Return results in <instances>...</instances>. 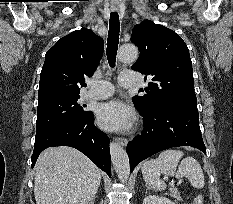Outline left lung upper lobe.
<instances>
[{"instance_id":"left-lung-upper-lobe-1","label":"left lung upper lobe","mask_w":233,"mask_h":204,"mask_svg":"<svg viewBox=\"0 0 233 204\" xmlns=\"http://www.w3.org/2000/svg\"><path fill=\"white\" fill-rule=\"evenodd\" d=\"M131 42L140 51L132 69L150 80L146 94L133 98L135 107L142 113L161 105L197 108L192 62L182 38L169 28L144 20L134 27Z\"/></svg>"}]
</instances>
